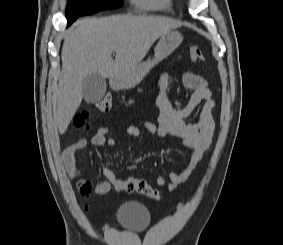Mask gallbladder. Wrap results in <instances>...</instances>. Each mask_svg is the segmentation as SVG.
I'll return each mask as SVG.
<instances>
[{
    "instance_id": "obj_1",
    "label": "gallbladder",
    "mask_w": 283,
    "mask_h": 245,
    "mask_svg": "<svg viewBox=\"0 0 283 245\" xmlns=\"http://www.w3.org/2000/svg\"><path fill=\"white\" fill-rule=\"evenodd\" d=\"M107 83L98 73H92L85 77L82 84L83 98L87 103L99 102L106 93Z\"/></svg>"
}]
</instances>
